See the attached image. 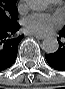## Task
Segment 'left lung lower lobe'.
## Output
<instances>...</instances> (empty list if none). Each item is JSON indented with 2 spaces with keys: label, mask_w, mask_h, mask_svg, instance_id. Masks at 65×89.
<instances>
[{
  "label": "left lung lower lobe",
  "mask_w": 65,
  "mask_h": 89,
  "mask_svg": "<svg viewBox=\"0 0 65 89\" xmlns=\"http://www.w3.org/2000/svg\"><path fill=\"white\" fill-rule=\"evenodd\" d=\"M60 35L62 39L58 38L59 49L55 53L46 54L45 58L52 68L65 71V30Z\"/></svg>",
  "instance_id": "left-lung-lower-lobe-1"
}]
</instances>
